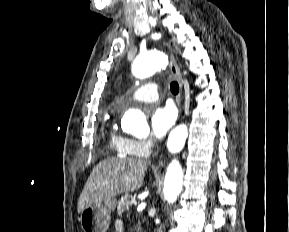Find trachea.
I'll return each instance as SVG.
<instances>
[{
	"mask_svg": "<svg viewBox=\"0 0 289 232\" xmlns=\"http://www.w3.org/2000/svg\"><path fill=\"white\" fill-rule=\"evenodd\" d=\"M170 90H171V92H172L174 95L178 94V92H179V85H178V83L175 82V81L171 82V84H170Z\"/></svg>",
	"mask_w": 289,
	"mask_h": 232,
	"instance_id": "obj_1",
	"label": "trachea"
}]
</instances>
